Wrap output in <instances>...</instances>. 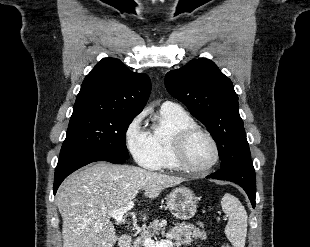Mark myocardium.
<instances>
[{
    "label": "myocardium",
    "mask_w": 310,
    "mask_h": 247,
    "mask_svg": "<svg viewBox=\"0 0 310 247\" xmlns=\"http://www.w3.org/2000/svg\"><path fill=\"white\" fill-rule=\"evenodd\" d=\"M198 134L206 136L211 142L214 149V158L210 164L202 168H194L188 162L187 149L190 140ZM174 156L178 164L179 169L191 174V175H203L214 168L220 159V149L216 139L206 129L193 125L179 130L175 137L174 143Z\"/></svg>",
    "instance_id": "myocardium-1"
}]
</instances>
